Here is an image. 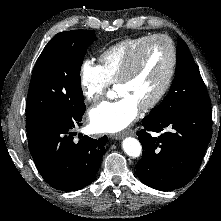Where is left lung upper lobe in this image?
<instances>
[{"label":"left lung upper lobe","mask_w":221,"mask_h":221,"mask_svg":"<svg viewBox=\"0 0 221 221\" xmlns=\"http://www.w3.org/2000/svg\"><path fill=\"white\" fill-rule=\"evenodd\" d=\"M175 78L163 101L151 110L150 116L160 117L170 112L178 101L204 102L209 99L206 86L186 43L180 39L177 46Z\"/></svg>","instance_id":"left-lung-upper-lobe-1"}]
</instances>
